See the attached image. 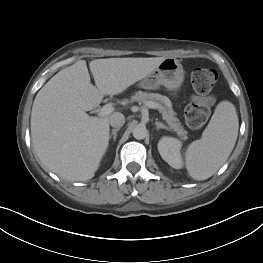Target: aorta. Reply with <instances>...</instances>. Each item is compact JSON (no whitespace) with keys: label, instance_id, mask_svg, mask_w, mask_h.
<instances>
[{"label":"aorta","instance_id":"aorta-1","mask_svg":"<svg viewBox=\"0 0 263 263\" xmlns=\"http://www.w3.org/2000/svg\"><path fill=\"white\" fill-rule=\"evenodd\" d=\"M148 132L145 126L137 125L133 129V137L137 140H142L147 136Z\"/></svg>","mask_w":263,"mask_h":263}]
</instances>
